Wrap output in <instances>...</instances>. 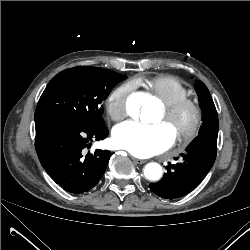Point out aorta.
Segmentation results:
<instances>
[{"label": "aorta", "mask_w": 250, "mask_h": 250, "mask_svg": "<svg viewBox=\"0 0 250 250\" xmlns=\"http://www.w3.org/2000/svg\"><path fill=\"white\" fill-rule=\"evenodd\" d=\"M128 108L130 110L136 109L135 105H133L132 103L128 104ZM152 117H153V114L151 113V111H149L146 108L142 110V118L144 120L149 121L151 120ZM144 176L148 180H152V181L159 180L162 176V167L157 163H148L144 169Z\"/></svg>", "instance_id": "1"}]
</instances>
